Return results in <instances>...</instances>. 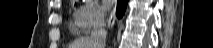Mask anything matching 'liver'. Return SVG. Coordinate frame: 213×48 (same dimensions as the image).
Here are the masks:
<instances>
[{"label":"liver","mask_w":213,"mask_h":48,"mask_svg":"<svg viewBox=\"0 0 213 48\" xmlns=\"http://www.w3.org/2000/svg\"><path fill=\"white\" fill-rule=\"evenodd\" d=\"M69 48H95L94 43L88 36L76 39Z\"/></svg>","instance_id":"6515ba94"}]
</instances>
